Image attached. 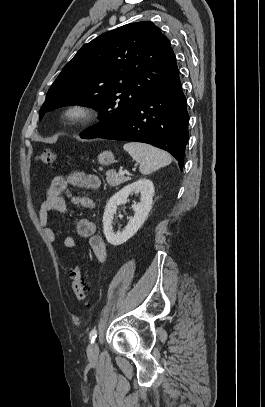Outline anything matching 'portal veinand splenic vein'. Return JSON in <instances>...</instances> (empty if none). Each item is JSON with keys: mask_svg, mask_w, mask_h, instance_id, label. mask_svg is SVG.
I'll return each instance as SVG.
<instances>
[{"mask_svg": "<svg viewBox=\"0 0 265 407\" xmlns=\"http://www.w3.org/2000/svg\"><path fill=\"white\" fill-rule=\"evenodd\" d=\"M125 173H128L127 171H123V170H120L119 171V174H121V175H124Z\"/></svg>", "mask_w": 265, "mask_h": 407, "instance_id": "1", "label": "portal vein and splenic vein"}]
</instances>
